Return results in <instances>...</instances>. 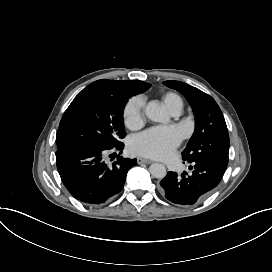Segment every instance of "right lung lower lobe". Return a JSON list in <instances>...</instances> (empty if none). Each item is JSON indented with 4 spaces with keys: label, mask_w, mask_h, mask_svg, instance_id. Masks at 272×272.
<instances>
[{
    "label": "right lung lower lobe",
    "mask_w": 272,
    "mask_h": 272,
    "mask_svg": "<svg viewBox=\"0 0 272 272\" xmlns=\"http://www.w3.org/2000/svg\"><path fill=\"white\" fill-rule=\"evenodd\" d=\"M121 149L123 144L112 150L88 145L57 150V169L69 193L92 206L112 200L123 189L128 170L136 165V159L119 156L112 165L105 163L104 154Z\"/></svg>",
    "instance_id": "obj_1"
}]
</instances>
